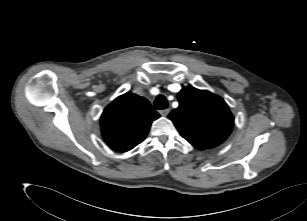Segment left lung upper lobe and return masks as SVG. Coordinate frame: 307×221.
<instances>
[{
	"mask_svg": "<svg viewBox=\"0 0 307 221\" xmlns=\"http://www.w3.org/2000/svg\"><path fill=\"white\" fill-rule=\"evenodd\" d=\"M178 100L179 107L168 117L194 147L201 150L213 148L229 136L234 118L221 97L185 87L178 93Z\"/></svg>",
	"mask_w": 307,
	"mask_h": 221,
	"instance_id": "5c2ea615",
	"label": "left lung upper lobe"
}]
</instances>
